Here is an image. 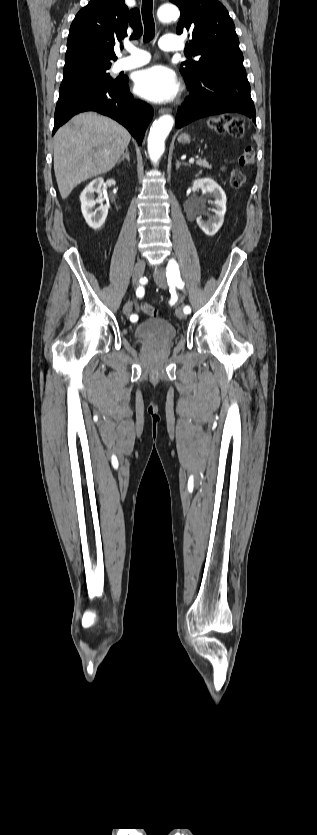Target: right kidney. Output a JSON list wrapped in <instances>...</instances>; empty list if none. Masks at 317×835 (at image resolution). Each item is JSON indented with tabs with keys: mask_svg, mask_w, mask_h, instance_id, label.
Returning <instances> with one entry per match:
<instances>
[{
	"mask_svg": "<svg viewBox=\"0 0 317 835\" xmlns=\"http://www.w3.org/2000/svg\"><path fill=\"white\" fill-rule=\"evenodd\" d=\"M104 179L99 177L92 180L82 191L80 195L81 211L86 223L94 230L99 229L105 222L108 208L107 205H102L95 209L98 200L95 199V193L102 195V186Z\"/></svg>",
	"mask_w": 317,
	"mask_h": 835,
	"instance_id": "right-kidney-1",
	"label": "right kidney"
}]
</instances>
